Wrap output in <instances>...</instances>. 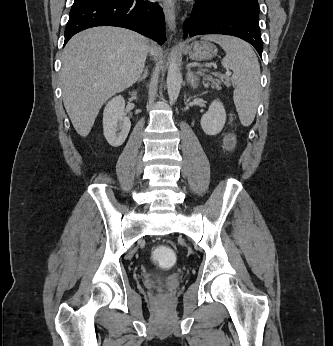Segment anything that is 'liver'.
<instances>
[{
  "mask_svg": "<svg viewBox=\"0 0 333 346\" xmlns=\"http://www.w3.org/2000/svg\"><path fill=\"white\" fill-rule=\"evenodd\" d=\"M148 53L159 47L119 27H94L74 35L62 53L61 86L65 109L77 133L86 137L102 105L140 77Z\"/></svg>",
  "mask_w": 333,
  "mask_h": 346,
  "instance_id": "1",
  "label": "liver"
}]
</instances>
